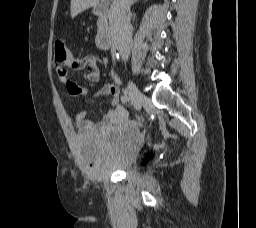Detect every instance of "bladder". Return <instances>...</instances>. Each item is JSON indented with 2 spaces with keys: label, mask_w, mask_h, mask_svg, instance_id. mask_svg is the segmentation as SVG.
<instances>
[{
  "label": "bladder",
  "mask_w": 256,
  "mask_h": 228,
  "mask_svg": "<svg viewBox=\"0 0 256 228\" xmlns=\"http://www.w3.org/2000/svg\"><path fill=\"white\" fill-rule=\"evenodd\" d=\"M144 140L138 127L127 125L101 136L82 133L75 140V149L83 162L91 163L88 167L91 175L100 179L112 172L130 171Z\"/></svg>",
  "instance_id": "1"
}]
</instances>
